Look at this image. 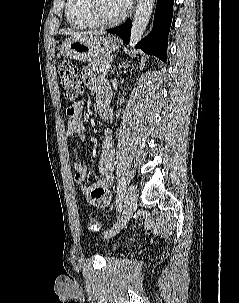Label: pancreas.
<instances>
[{"label": "pancreas", "instance_id": "obj_1", "mask_svg": "<svg viewBox=\"0 0 239 303\" xmlns=\"http://www.w3.org/2000/svg\"><path fill=\"white\" fill-rule=\"evenodd\" d=\"M109 62L108 57H101L98 59H93L88 63V66L95 72L106 75L108 69L106 68V63Z\"/></svg>", "mask_w": 239, "mask_h": 303}]
</instances>
